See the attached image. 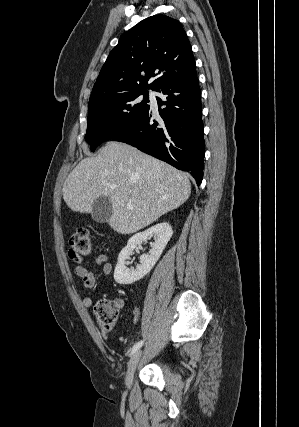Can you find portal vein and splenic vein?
<instances>
[{
	"label": "portal vein and splenic vein",
	"instance_id": "18ae733b",
	"mask_svg": "<svg viewBox=\"0 0 299 427\" xmlns=\"http://www.w3.org/2000/svg\"><path fill=\"white\" fill-rule=\"evenodd\" d=\"M104 184H105V182H103ZM110 187H115L114 185H110ZM127 208H130V209H132L133 207H132V204H130V203H127Z\"/></svg>",
	"mask_w": 299,
	"mask_h": 427
}]
</instances>
